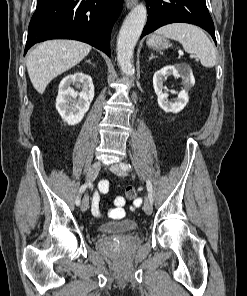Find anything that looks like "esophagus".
I'll return each mask as SVG.
<instances>
[{
	"mask_svg": "<svg viewBox=\"0 0 247 296\" xmlns=\"http://www.w3.org/2000/svg\"><path fill=\"white\" fill-rule=\"evenodd\" d=\"M137 0H125V5L128 9L132 8L136 4Z\"/></svg>",
	"mask_w": 247,
	"mask_h": 296,
	"instance_id": "obj_1",
	"label": "esophagus"
}]
</instances>
